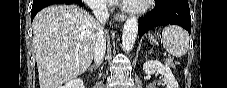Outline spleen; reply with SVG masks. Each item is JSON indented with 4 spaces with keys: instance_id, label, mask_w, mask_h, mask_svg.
Wrapping results in <instances>:
<instances>
[{
    "instance_id": "1",
    "label": "spleen",
    "mask_w": 227,
    "mask_h": 88,
    "mask_svg": "<svg viewBox=\"0 0 227 88\" xmlns=\"http://www.w3.org/2000/svg\"><path fill=\"white\" fill-rule=\"evenodd\" d=\"M151 40L153 41V37L150 38ZM161 41L167 52L175 57L185 55L189 48L188 33L176 25H169L163 29Z\"/></svg>"
}]
</instances>
